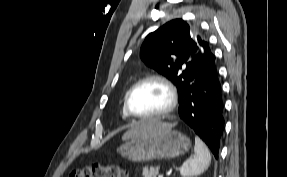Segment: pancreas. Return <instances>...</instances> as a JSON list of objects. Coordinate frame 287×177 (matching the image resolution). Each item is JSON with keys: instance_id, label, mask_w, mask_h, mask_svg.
<instances>
[{"instance_id": "pancreas-1", "label": "pancreas", "mask_w": 287, "mask_h": 177, "mask_svg": "<svg viewBox=\"0 0 287 177\" xmlns=\"http://www.w3.org/2000/svg\"><path fill=\"white\" fill-rule=\"evenodd\" d=\"M159 166L157 167H144L143 168V176L144 177H157V175L159 174Z\"/></svg>"}]
</instances>
